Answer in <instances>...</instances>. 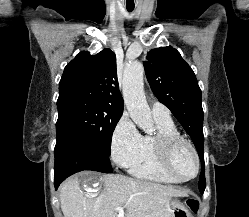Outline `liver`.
<instances>
[{"label": "liver", "instance_id": "liver-1", "mask_svg": "<svg viewBox=\"0 0 249 217\" xmlns=\"http://www.w3.org/2000/svg\"><path fill=\"white\" fill-rule=\"evenodd\" d=\"M80 182L91 183L95 189L103 185V189L86 192ZM186 195L171 186L119 174L85 172L60 186V205L64 217H116L118 207L126 209L125 217H171V198Z\"/></svg>", "mask_w": 249, "mask_h": 217}]
</instances>
